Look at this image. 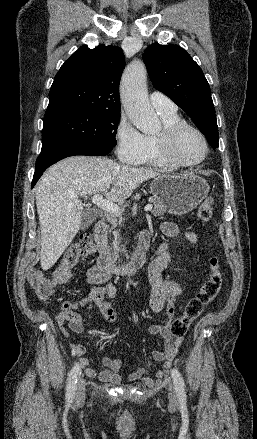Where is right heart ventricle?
Instances as JSON below:
<instances>
[{
  "mask_svg": "<svg viewBox=\"0 0 257 439\" xmlns=\"http://www.w3.org/2000/svg\"><path fill=\"white\" fill-rule=\"evenodd\" d=\"M159 113V112H158ZM163 126L172 125L178 123L181 120L179 115L174 113H159ZM157 134H146L144 135L145 140V150L142 156L139 158L135 164L138 165H150L159 167H168L170 164L165 160L163 154L161 153L158 143Z\"/></svg>",
  "mask_w": 257,
  "mask_h": 439,
  "instance_id": "1",
  "label": "right heart ventricle"
}]
</instances>
